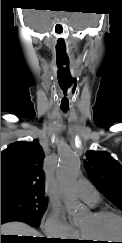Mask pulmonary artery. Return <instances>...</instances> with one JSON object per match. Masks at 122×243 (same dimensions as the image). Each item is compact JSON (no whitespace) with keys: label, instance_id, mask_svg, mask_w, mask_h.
Instances as JSON below:
<instances>
[{"label":"pulmonary artery","instance_id":"obj_1","mask_svg":"<svg viewBox=\"0 0 122 243\" xmlns=\"http://www.w3.org/2000/svg\"><path fill=\"white\" fill-rule=\"evenodd\" d=\"M73 189L90 206H95L100 201V196L96 188L85 180H79Z\"/></svg>","mask_w":122,"mask_h":243}]
</instances>
